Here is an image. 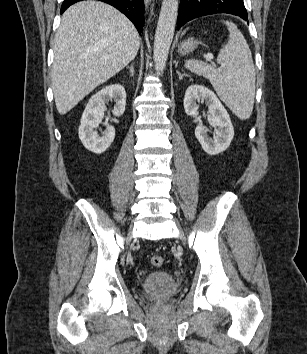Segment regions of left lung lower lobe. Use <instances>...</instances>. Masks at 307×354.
<instances>
[{
	"mask_svg": "<svg viewBox=\"0 0 307 354\" xmlns=\"http://www.w3.org/2000/svg\"><path fill=\"white\" fill-rule=\"evenodd\" d=\"M228 13L248 19L243 0H181L178 29L186 22L205 15Z\"/></svg>",
	"mask_w": 307,
	"mask_h": 354,
	"instance_id": "0a47b994",
	"label": "left lung lower lobe"
}]
</instances>
